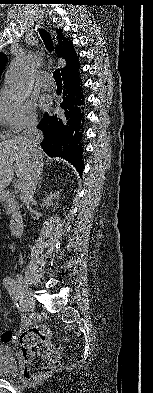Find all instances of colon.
I'll return each instance as SVG.
<instances>
[{
    "instance_id": "1",
    "label": "colon",
    "mask_w": 153,
    "mask_h": 393,
    "mask_svg": "<svg viewBox=\"0 0 153 393\" xmlns=\"http://www.w3.org/2000/svg\"><path fill=\"white\" fill-rule=\"evenodd\" d=\"M45 326H33L21 332L20 348L24 358V377L39 380L60 364L59 354L49 341Z\"/></svg>"
}]
</instances>
